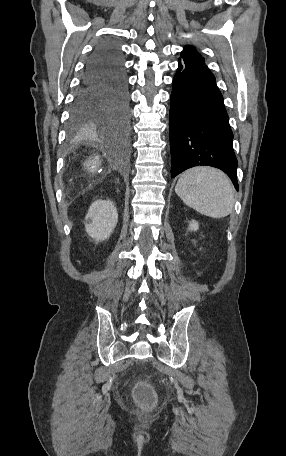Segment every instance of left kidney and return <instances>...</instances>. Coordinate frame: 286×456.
<instances>
[{
    "label": "left kidney",
    "instance_id": "obj_1",
    "mask_svg": "<svg viewBox=\"0 0 286 456\" xmlns=\"http://www.w3.org/2000/svg\"><path fill=\"white\" fill-rule=\"evenodd\" d=\"M199 229V224L197 221L195 220H192L190 223H189V230L191 231H197Z\"/></svg>",
    "mask_w": 286,
    "mask_h": 456
}]
</instances>
